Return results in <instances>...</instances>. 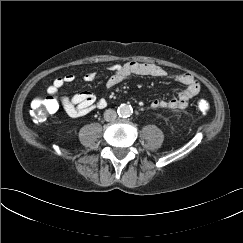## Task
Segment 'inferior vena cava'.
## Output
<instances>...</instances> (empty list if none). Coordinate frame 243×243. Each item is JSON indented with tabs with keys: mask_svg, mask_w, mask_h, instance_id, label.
Returning <instances> with one entry per match:
<instances>
[{
	"mask_svg": "<svg viewBox=\"0 0 243 243\" xmlns=\"http://www.w3.org/2000/svg\"><path fill=\"white\" fill-rule=\"evenodd\" d=\"M117 118V113L113 109H108L104 112V119L107 122H112Z\"/></svg>",
	"mask_w": 243,
	"mask_h": 243,
	"instance_id": "inferior-vena-cava-1",
	"label": "inferior vena cava"
}]
</instances>
